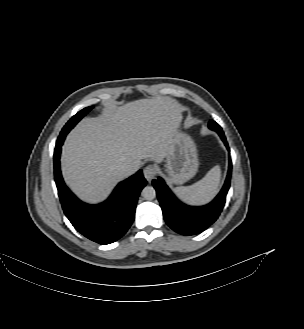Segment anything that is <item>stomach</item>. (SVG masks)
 Listing matches in <instances>:
<instances>
[{
	"label": "stomach",
	"mask_w": 304,
	"mask_h": 329,
	"mask_svg": "<svg viewBox=\"0 0 304 329\" xmlns=\"http://www.w3.org/2000/svg\"><path fill=\"white\" fill-rule=\"evenodd\" d=\"M166 172L169 181L183 184L198 170L197 150L193 140L184 133H178L167 156Z\"/></svg>",
	"instance_id": "stomach-1"
}]
</instances>
